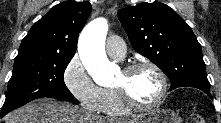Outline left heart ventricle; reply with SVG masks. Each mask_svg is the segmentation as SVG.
<instances>
[{
    "instance_id": "1",
    "label": "left heart ventricle",
    "mask_w": 221,
    "mask_h": 123,
    "mask_svg": "<svg viewBox=\"0 0 221 123\" xmlns=\"http://www.w3.org/2000/svg\"><path fill=\"white\" fill-rule=\"evenodd\" d=\"M114 87H125L136 102L144 105L153 103L161 89L159 77L148 68L140 69L130 75L120 72Z\"/></svg>"
}]
</instances>
